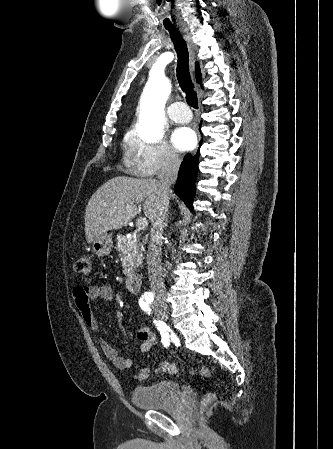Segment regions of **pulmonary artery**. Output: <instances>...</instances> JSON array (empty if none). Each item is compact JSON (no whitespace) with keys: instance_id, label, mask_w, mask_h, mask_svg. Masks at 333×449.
<instances>
[{"instance_id":"e3ab8cb5","label":"pulmonary artery","mask_w":333,"mask_h":449,"mask_svg":"<svg viewBox=\"0 0 333 449\" xmlns=\"http://www.w3.org/2000/svg\"><path fill=\"white\" fill-rule=\"evenodd\" d=\"M167 114L171 120L178 123L188 122L192 118L189 108L183 102H174L169 105Z\"/></svg>"}]
</instances>
